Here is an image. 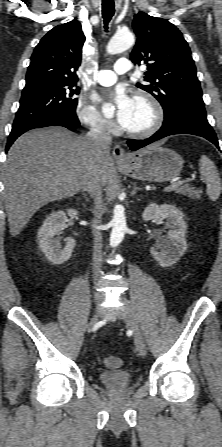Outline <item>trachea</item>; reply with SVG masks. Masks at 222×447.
Wrapping results in <instances>:
<instances>
[{
	"instance_id": "obj_1",
	"label": "trachea",
	"mask_w": 222,
	"mask_h": 447,
	"mask_svg": "<svg viewBox=\"0 0 222 447\" xmlns=\"http://www.w3.org/2000/svg\"><path fill=\"white\" fill-rule=\"evenodd\" d=\"M115 13L114 1L113 0H103L102 2V16L104 19L105 29H108V23Z\"/></svg>"
}]
</instances>
